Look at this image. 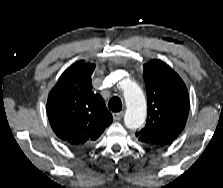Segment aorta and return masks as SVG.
Masks as SVG:
<instances>
[{
    "label": "aorta",
    "mask_w": 223,
    "mask_h": 188,
    "mask_svg": "<svg viewBox=\"0 0 223 188\" xmlns=\"http://www.w3.org/2000/svg\"><path fill=\"white\" fill-rule=\"evenodd\" d=\"M124 100L126 112L124 123L129 129L142 127L147 115L145 96L138 85L130 80H125Z\"/></svg>",
    "instance_id": "1"
}]
</instances>
